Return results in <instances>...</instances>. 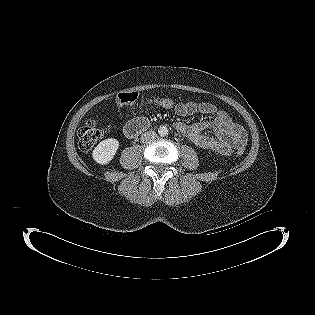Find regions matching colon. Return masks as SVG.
<instances>
[{
    "label": "colon",
    "instance_id": "5ec220e1",
    "mask_svg": "<svg viewBox=\"0 0 315 315\" xmlns=\"http://www.w3.org/2000/svg\"><path fill=\"white\" fill-rule=\"evenodd\" d=\"M156 104L163 108L169 109L175 105V101L170 98H163L158 95H140L137 92H121L115 98L117 105L133 104ZM103 132L97 126L94 120L87 121L79 131V146L82 150L88 151L102 138ZM244 152V147L237 149V154L241 155Z\"/></svg>",
    "mask_w": 315,
    "mask_h": 315
}]
</instances>
